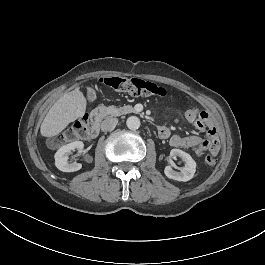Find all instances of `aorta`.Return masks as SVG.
<instances>
[{
  "label": "aorta",
  "instance_id": "1",
  "mask_svg": "<svg viewBox=\"0 0 265 265\" xmlns=\"http://www.w3.org/2000/svg\"><path fill=\"white\" fill-rule=\"evenodd\" d=\"M127 127L130 129V130H137L139 129L141 123H140V119L136 116H131L127 119Z\"/></svg>",
  "mask_w": 265,
  "mask_h": 265
}]
</instances>
